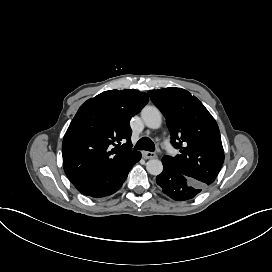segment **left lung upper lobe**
I'll return each mask as SVG.
<instances>
[{
  "mask_svg": "<svg viewBox=\"0 0 272 272\" xmlns=\"http://www.w3.org/2000/svg\"><path fill=\"white\" fill-rule=\"evenodd\" d=\"M148 93L166 118L171 143L181 152L162 160L204 186L213 183L224 162V151L212 115L184 89L170 87Z\"/></svg>",
  "mask_w": 272,
  "mask_h": 272,
  "instance_id": "1",
  "label": "left lung upper lobe"
}]
</instances>
